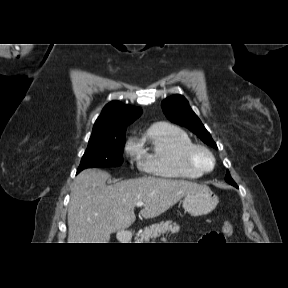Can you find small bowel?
<instances>
[{
	"label": "small bowel",
	"mask_w": 288,
	"mask_h": 288,
	"mask_svg": "<svg viewBox=\"0 0 288 288\" xmlns=\"http://www.w3.org/2000/svg\"><path fill=\"white\" fill-rule=\"evenodd\" d=\"M211 234H212V233H211ZM209 235H210V234H209ZM209 235H207V236L205 237V239H204L205 242H209V240H208Z\"/></svg>",
	"instance_id": "1"
}]
</instances>
